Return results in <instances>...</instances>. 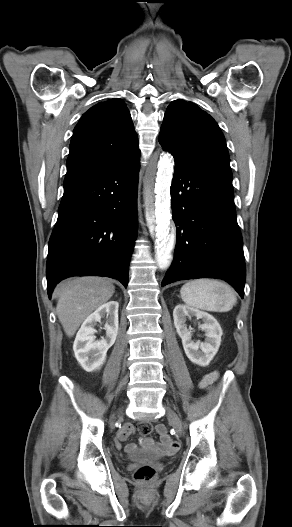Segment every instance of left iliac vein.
<instances>
[{
  "mask_svg": "<svg viewBox=\"0 0 292 527\" xmlns=\"http://www.w3.org/2000/svg\"><path fill=\"white\" fill-rule=\"evenodd\" d=\"M166 415L172 426L175 428L179 435L183 434V425L178 414L169 406H166Z\"/></svg>",
  "mask_w": 292,
  "mask_h": 527,
  "instance_id": "obj_1",
  "label": "left iliac vein"
}]
</instances>
